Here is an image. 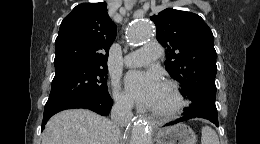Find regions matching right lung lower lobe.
<instances>
[{"label": "right lung lower lobe", "instance_id": "right-lung-lower-lobe-1", "mask_svg": "<svg viewBox=\"0 0 260 144\" xmlns=\"http://www.w3.org/2000/svg\"><path fill=\"white\" fill-rule=\"evenodd\" d=\"M113 105L111 97L99 98L92 101H66L54 104L45 105L43 124L41 129L45 128V124L51 116L65 109L84 108L92 110L100 115L106 116L109 114Z\"/></svg>", "mask_w": 260, "mask_h": 144}]
</instances>
